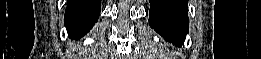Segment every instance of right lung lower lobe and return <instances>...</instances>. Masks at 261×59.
Masks as SVG:
<instances>
[{
	"instance_id": "obj_1",
	"label": "right lung lower lobe",
	"mask_w": 261,
	"mask_h": 59,
	"mask_svg": "<svg viewBox=\"0 0 261 59\" xmlns=\"http://www.w3.org/2000/svg\"><path fill=\"white\" fill-rule=\"evenodd\" d=\"M101 0H68L65 11V26L71 39L84 36L97 22Z\"/></svg>"
}]
</instances>
